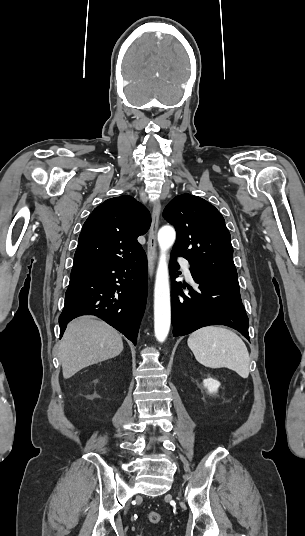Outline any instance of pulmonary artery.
<instances>
[{"label":"pulmonary artery","mask_w":305,"mask_h":536,"mask_svg":"<svg viewBox=\"0 0 305 536\" xmlns=\"http://www.w3.org/2000/svg\"><path fill=\"white\" fill-rule=\"evenodd\" d=\"M176 260H182V257H176ZM181 267L183 269V272L186 276V278L193 282V277H192V273H191V269H190V265H189V262L188 261H182L181 262Z\"/></svg>","instance_id":"1"}]
</instances>
